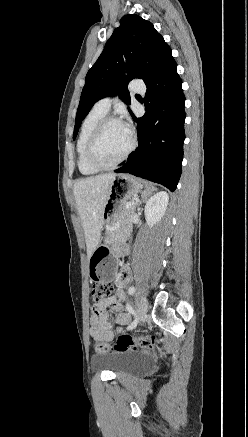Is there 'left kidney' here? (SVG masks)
<instances>
[{"label": "left kidney", "mask_w": 248, "mask_h": 437, "mask_svg": "<svg viewBox=\"0 0 248 437\" xmlns=\"http://www.w3.org/2000/svg\"><path fill=\"white\" fill-rule=\"evenodd\" d=\"M168 201L169 196L165 191L157 192L148 199L144 212L147 224L150 227H153L161 220L167 209Z\"/></svg>", "instance_id": "obj_1"}]
</instances>
